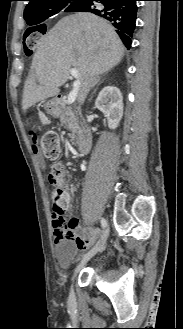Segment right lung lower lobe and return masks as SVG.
<instances>
[{
    "mask_svg": "<svg viewBox=\"0 0 183 329\" xmlns=\"http://www.w3.org/2000/svg\"><path fill=\"white\" fill-rule=\"evenodd\" d=\"M138 0H83L71 12H90L110 21L127 48L135 29ZM32 32V31H30Z\"/></svg>",
    "mask_w": 183,
    "mask_h": 329,
    "instance_id": "obj_1",
    "label": "right lung lower lobe"
}]
</instances>
